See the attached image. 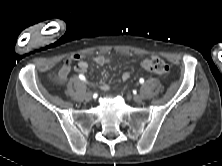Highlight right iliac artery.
<instances>
[{"mask_svg": "<svg viewBox=\"0 0 222 166\" xmlns=\"http://www.w3.org/2000/svg\"><path fill=\"white\" fill-rule=\"evenodd\" d=\"M79 78H80L81 80H83V81H86L85 76L82 75V74L79 75Z\"/></svg>", "mask_w": 222, "mask_h": 166, "instance_id": "1", "label": "right iliac artery"}]
</instances>
